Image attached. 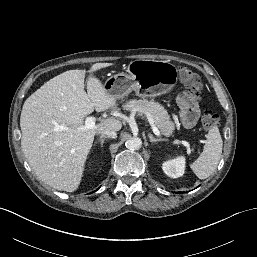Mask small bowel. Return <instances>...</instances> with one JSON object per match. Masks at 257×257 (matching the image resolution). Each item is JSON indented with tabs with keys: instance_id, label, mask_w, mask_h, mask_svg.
Returning a JSON list of instances; mask_svg holds the SVG:
<instances>
[{
	"instance_id": "1",
	"label": "small bowel",
	"mask_w": 257,
	"mask_h": 257,
	"mask_svg": "<svg viewBox=\"0 0 257 257\" xmlns=\"http://www.w3.org/2000/svg\"><path fill=\"white\" fill-rule=\"evenodd\" d=\"M180 119L186 128L194 126L199 116V105L195 96L190 92H183L178 96Z\"/></svg>"
}]
</instances>
